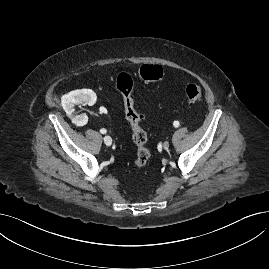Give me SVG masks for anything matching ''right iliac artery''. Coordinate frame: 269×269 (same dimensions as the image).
<instances>
[{"instance_id": "82829eb1", "label": "right iliac artery", "mask_w": 269, "mask_h": 269, "mask_svg": "<svg viewBox=\"0 0 269 269\" xmlns=\"http://www.w3.org/2000/svg\"><path fill=\"white\" fill-rule=\"evenodd\" d=\"M100 132H101L102 134H105L107 131H106V129L103 128V129L100 130Z\"/></svg>"}]
</instances>
